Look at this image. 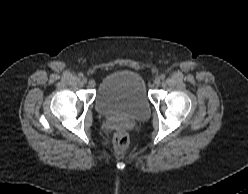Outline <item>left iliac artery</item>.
I'll list each match as a JSON object with an SVG mask.
<instances>
[{"mask_svg": "<svg viewBox=\"0 0 248 194\" xmlns=\"http://www.w3.org/2000/svg\"><path fill=\"white\" fill-rule=\"evenodd\" d=\"M160 78H161L162 80L165 79V75L162 74V75L160 76Z\"/></svg>", "mask_w": 248, "mask_h": 194, "instance_id": "obj_1", "label": "left iliac artery"}]
</instances>
